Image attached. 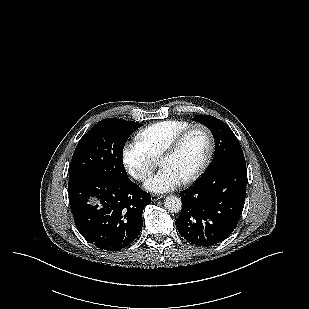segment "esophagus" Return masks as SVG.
Returning <instances> with one entry per match:
<instances>
[{"mask_svg":"<svg viewBox=\"0 0 309 309\" xmlns=\"http://www.w3.org/2000/svg\"><path fill=\"white\" fill-rule=\"evenodd\" d=\"M163 196L162 195H157V194H152L151 195V200L153 202L157 201L158 199H161Z\"/></svg>","mask_w":309,"mask_h":309,"instance_id":"esophagus-1","label":"esophagus"}]
</instances>
